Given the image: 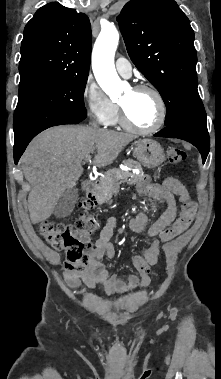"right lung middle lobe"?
<instances>
[{"label": "right lung middle lobe", "mask_w": 221, "mask_h": 379, "mask_svg": "<svg viewBox=\"0 0 221 379\" xmlns=\"http://www.w3.org/2000/svg\"><path fill=\"white\" fill-rule=\"evenodd\" d=\"M85 77L57 78L19 87L14 113V143L31 140L41 131L65 118L85 119Z\"/></svg>", "instance_id": "obj_1"}]
</instances>
